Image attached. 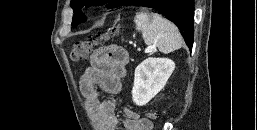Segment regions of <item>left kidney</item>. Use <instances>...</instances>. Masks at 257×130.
Returning <instances> with one entry per match:
<instances>
[{
	"label": "left kidney",
	"instance_id": "left-kidney-1",
	"mask_svg": "<svg viewBox=\"0 0 257 130\" xmlns=\"http://www.w3.org/2000/svg\"><path fill=\"white\" fill-rule=\"evenodd\" d=\"M174 68L175 63L168 58H148L139 64L135 69L133 102L146 105L164 88Z\"/></svg>",
	"mask_w": 257,
	"mask_h": 130
}]
</instances>
